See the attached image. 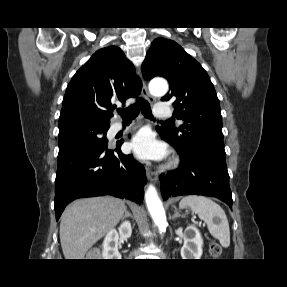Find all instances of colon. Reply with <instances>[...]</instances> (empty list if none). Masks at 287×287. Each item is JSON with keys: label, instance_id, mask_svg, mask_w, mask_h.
<instances>
[{"label": "colon", "instance_id": "obj_1", "mask_svg": "<svg viewBox=\"0 0 287 287\" xmlns=\"http://www.w3.org/2000/svg\"><path fill=\"white\" fill-rule=\"evenodd\" d=\"M208 249H209L210 255L213 256V257H219L221 255V253H222L221 246L218 243H216V242H211L209 244Z\"/></svg>", "mask_w": 287, "mask_h": 287}]
</instances>
